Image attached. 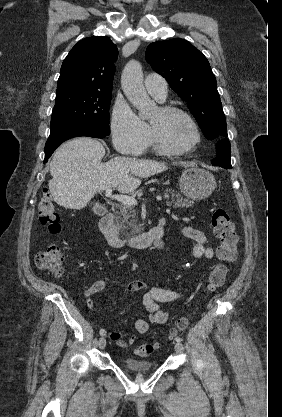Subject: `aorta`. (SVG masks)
<instances>
[{
    "instance_id": "1",
    "label": "aorta",
    "mask_w": 282,
    "mask_h": 417,
    "mask_svg": "<svg viewBox=\"0 0 282 417\" xmlns=\"http://www.w3.org/2000/svg\"><path fill=\"white\" fill-rule=\"evenodd\" d=\"M121 78L125 96L133 106L138 108L140 118H148L157 106L145 90L141 62L139 60H128L123 68Z\"/></svg>"
}]
</instances>
